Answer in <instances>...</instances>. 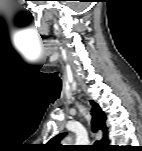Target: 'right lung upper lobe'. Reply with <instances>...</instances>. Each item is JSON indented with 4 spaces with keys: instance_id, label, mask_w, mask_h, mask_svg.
Returning <instances> with one entry per match:
<instances>
[{
    "instance_id": "right-lung-upper-lobe-1",
    "label": "right lung upper lobe",
    "mask_w": 142,
    "mask_h": 151,
    "mask_svg": "<svg viewBox=\"0 0 142 151\" xmlns=\"http://www.w3.org/2000/svg\"><path fill=\"white\" fill-rule=\"evenodd\" d=\"M90 103L92 105V109H91L92 131L93 132L102 131L103 139L101 140V144L106 145L108 143V139H107V129L108 128L106 127V124H105L106 116L97 103H95L92 100H90ZM62 138H63L62 133L55 136L54 138H52L48 142L49 148H52L55 150H58L59 148H61V144H59V143Z\"/></svg>"
}]
</instances>
